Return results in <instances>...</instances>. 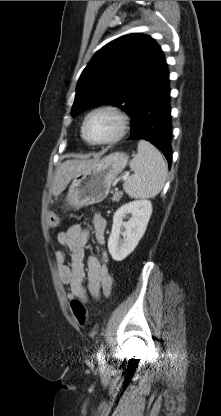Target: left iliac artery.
<instances>
[{
	"mask_svg": "<svg viewBox=\"0 0 221 416\" xmlns=\"http://www.w3.org/2000/svg\"><path fill=\"white\" fill-rule=\"evenodd\" d=\"M97 359L99 360V362L104 363V347H102L98 353H97Z\"/></svg>",
	"mask_w": 221,
	"mask_h": 416,
	"instance_id": "44dca946",
	"label": "left iliac artery"
}]
</instances>
